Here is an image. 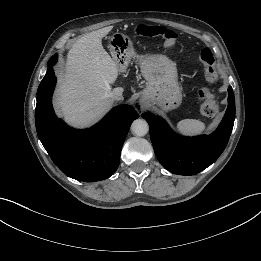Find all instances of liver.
I'll return each mask as SVG.
<instances>
[{"label": "liver", "instance_id": "obj_1", "mask_svg": "<svg viewBox=\"0 0 261 261\" xmlns=\"http://www.w3.org/2000/svg\"><path fill=\"white\" fill-rule=\"evenodd\" d=\"M106 29H99L78 39L69 50L65 72L60 78L55 105L65 121L79 128L97 122L113 105L111 92L118 77V65L102 46Z\"/></svg>", "mask_w": 261, "mask_h": 261}]
</instances>
